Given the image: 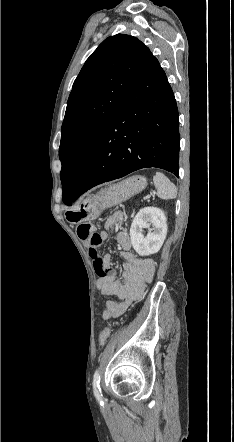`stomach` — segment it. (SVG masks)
<instances>
[{
	"label": "stomach",
	"mask_w": 234,
	"mask_h": 442,
	"mask_svg": "<svg viewBox=\"0 0 234 442\" xmlns=\"http://www.w3.org/2000/svg\"><path fill=\"white\" fill-rule=\"evenodd\" d=\"M146 185L147 180L141 175H134L117 184H112L83 199L79 206L66 212V219L71 224L94 220L106 208L120 204L140 193Z\"/></svg>",
	"instance_id": "1"
}]
</instances>
